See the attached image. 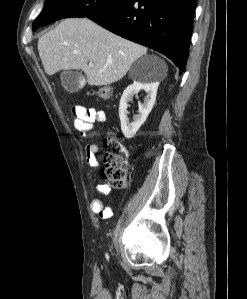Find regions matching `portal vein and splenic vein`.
Masks as SVG:
<instances>
[{
    "label": "portal vein and splenic vein",
    "mask_w": 247,
    "mask_h": 299,
    "mask_svg": "<svg viewBox=\"0 0 247 299\" xmlns=\"http://www.w3.org/2000/svg\"><path fill=\"white\" fill-rule=\"evenodd\" d=\"M89 66H90V67H93V66H94V64H93L92 62H90V63H89Z\"/></svg>",
    "instance_id": "portal-vein-and-splenic-vein-1"
}]
</instances>
